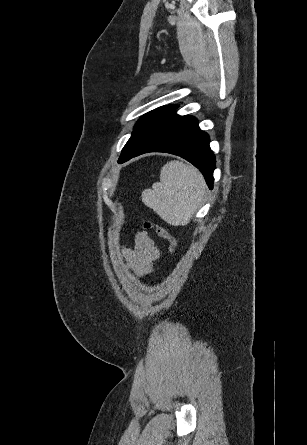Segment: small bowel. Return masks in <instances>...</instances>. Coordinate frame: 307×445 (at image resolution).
I'll return each instance as SVG.
<instances>
[{
  "label": "small bowel",
  "mask_w": 307,
  "mask_h": 445,
  "mask_svg": "<svg viewBox=\"0 0 307 445\" xmlns=\"http://www.w3.org/2000/svg\"><path fill=\"white\" fill-rule=\"evenodd\" d=\"M124 255L130 269L138 276L153 271L154 262L160 257V250L145 231L137 233L133 248H124Z\"/></svg>",
  "instance_id": "c3829d8e"
}]
</instances>
